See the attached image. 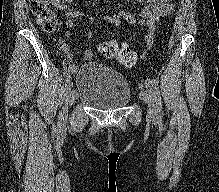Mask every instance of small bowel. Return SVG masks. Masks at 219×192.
I'll list each match as a JSON object with an SVG mask.
<instances>
[{
  "label": "small bowel",
  "instance_id": "1",
  "mask_svg": "<svg viewBox=\"0 0 219 192\" xmlns=\"http://www.w3.org/2000/svg\"><path fill=\"white\" fill-rule=\"evenodd\" d=\"M139 2L143 0H137ZM146 5L142 8L138 15L121 12L112 16H105L104 19L113 24H119L121 18H125L130 24L138 22L145 28L144 39L146 41L147 49H145L141 56H146L147 50L151 49L154 43V34L156 23L161 17L169 15L173 12V4L171 0H145ZM52 4L63 12L65 25L67 28H74L78 22L87 21L90 25L93 24L94 18L92 15L74 10L70 8L73 0H51ZM70 33L64 32V39L59 42L60 49L65 53L68 60V67L70 71H75L77 66L71 65L69 62L74 58V52L70 50L67 40ZM91 31L88 32V37H91ZM93 59V49L89 48L84 54V61H91Z\"/></svg>",
  "mask_w": 219,
  "mask_h": 192
}]
</instances>
